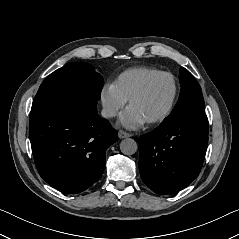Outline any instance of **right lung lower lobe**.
Here are the masks:
<instances>
[{"label": "right lung lower lobe", "instance_id": "obj_1", "mask_svg": "<svg viewBox=\"0 0 239 239\" xmlns=\"http://www.w3.org/2000/svg\"><path fill=\"white\" fill-rule=\"evenodd\" d=\"M29 135L40 176L69 194L101 177L106 149L117 141V131L97 113V100L83 94L61 95L31 111Z\"/></svg>", "mask_w": 239, "mask_h": 239}]
</instances>
